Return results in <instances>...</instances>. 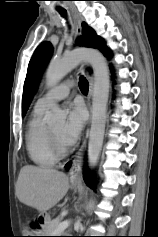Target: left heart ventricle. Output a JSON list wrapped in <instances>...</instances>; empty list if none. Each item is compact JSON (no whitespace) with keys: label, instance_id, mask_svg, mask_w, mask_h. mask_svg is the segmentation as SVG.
<instances>
[{"label":"left heart ventricle","instance_id":"1","mask_svg":"<svg viewBox=\"0 0 158 237\" xmlns=\"http://www.w3.org/2000/svg\"><path fill=\"white\" fill-rule=\"evenodd\" d=\"M63 129V125H58V126H54L52 128H50V130L52 131L53 135L55 136V138L57 139V141L64 147H66L62 141H61V138H60V135H61V131Z\"/></svg>","mask_w":158,"mask_h":237}]
</instances>
